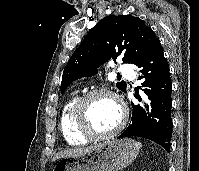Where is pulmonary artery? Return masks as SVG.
I'll list each match as a JSON object with an SVG mask.
<instances>
[{"label": "pulmonary artery", "instance_id": "pulmonary-artery-1", "mask_svg": "<svg viewBox=\"0 0 199 171\" xmlns=\"http://www.w3.org/2000/svg\"><path fill=\"white\" fill-rule=\"evenodd\" d=\"M118 72L124 76L134 78V73L128 64H122L118 66Z\"/></svg>", "mask_w": 199, "mask_h": 171}]
</instances>
